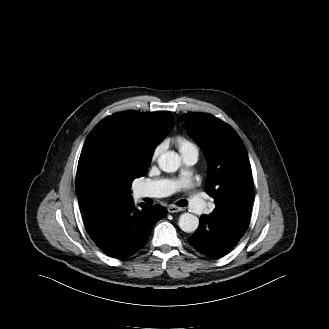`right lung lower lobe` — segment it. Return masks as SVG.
Masks as SVG:
<instances>
[{"instance_id":"98d812e1","label":"right lung lower lobe","mask_w":329,"mask_h":329,"mask_svg":"<svg viewBox=\"0 0 329 329\" xmlns=\"http://www.w3.org/2000/svg\"><path fill=\"white\" fill-rule=\"evenodd\" d=\"M140 206L141 210L136 209L129 199L101 203L85 212L87 231L110 257H127L143 248L153 225L167 215L163 206Z\"/></svg>"}]
</instances>
